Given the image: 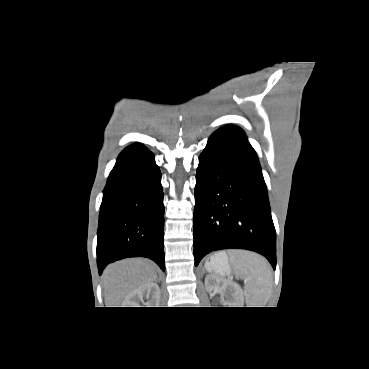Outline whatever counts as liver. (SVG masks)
<instances>
[{
  "label": "liver",
  "mask_w": 369,
  "mask_h": 369,
  "mask_svg": "<svg viewBox=\"0 0 369 369\" xmlns=\"http://www.w3.org/2000/svg\"><path fill=\"white\" fill-rule=\"evenodd\" d=\"M156 279L154 264L143 258L125 259L108 265L102 276L106 307H118L133 290Z\"/></svg>",
  "instance_id": "liver-1"
}]
</instances>
